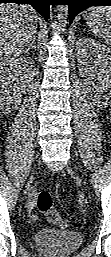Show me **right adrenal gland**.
Returning a JSON list of instances; mask_svg holds the SVG:
<instances>
[{
  "mask_svg": "<svg viewBox=\"0 0 111 257\" xmlns=\"http://www.w3.org/2000/svg\"><path fill=\"white\" fill-rule=\"evenodd\" d=\"M35 41H36V36H33L30 44L28 45V47L24 51L25 53H28L31 48L36 49V42Z\"/></svg>",
  "mask_w": 111,
  "mask_h": 257,
  "instance_id": "1",
  "label": "right adrenal gland"
}]
</instances>
